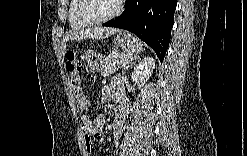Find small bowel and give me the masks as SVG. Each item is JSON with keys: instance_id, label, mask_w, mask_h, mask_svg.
<instances>
[{"instance_id": "c3829d8e", "label": "small bowel", "mask_w": 247, "mask_h": 156, "mask_svg": "<svg viewBox=\"0 0 247 156\" xmlns=\"http://www.w3.org/2000/svg\"><path fill=\"white\" fill-rule=\"evenodd\" d=\"M68 71L70 74V83L74 90V93L76 95V98L78 100L80 107L86 111L89 110V107H90L89 103L86 101L85 97L83 96L81 86H80L81 65L78 62L70 61V63L68 64ZM110 97H114L117 110L121 109L123 112L122 117L119 119L116 118L113 124V135L115 139H119L122 134V127H123L124 120L128 113V105H127L126 96H125L123 87L119 81H114L111 84H108L105 87H103L102 98L106 100V99H109ZM85 117L83 118V122L86 121ZM103 122H104V118L102 116H99L96 125L100 126ZM83 133H84V129H83ZM91 140L92 139L86 137L84 134L85 152L87 154H90L92 150ZM96 140L97 141L102 140L101 131H100V136L96 138ZM117 153L118 151H116L115 155Z\"/></svg>"}]
</instances>
